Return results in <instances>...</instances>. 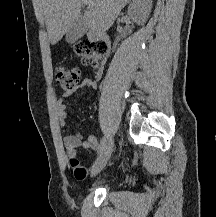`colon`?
<instances>
[{"instance_id":"5ec220e1","label":"colon","mask_w":216,"mask_h":217,"mask_svg":"<svg viewBox=\"0 0 216 217\" xmlns=\"http://www.w3.org/2000/svg\"><path fill=\"white\" fill-rule=\"evenodd\" d=\"M107 51V45L104 42L83 41L75 44L74 52L79 56L85 65H94L98 55ZM56 81L64 90H72L80 79V71L77 68L59 67L55 71ZM74 169L75 176H80L82 171L79 168L77 159L70 160Z\"/></svg>"}]
</instances>
